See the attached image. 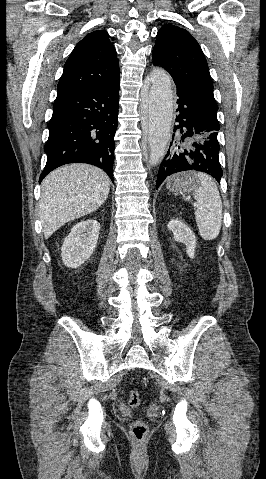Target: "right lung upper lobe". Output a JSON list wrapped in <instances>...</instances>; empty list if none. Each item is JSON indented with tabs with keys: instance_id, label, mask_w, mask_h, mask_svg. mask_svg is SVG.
<instances>
[{
	"instance_id": "obj_1",
	"label": "right lung upper lobe",
	"mask_w": 266,
	"mask_h": 479,
	"mask_svg": "<svg viewBox=\"0 0 266 479\" xmlns=\"http://www.w3.org/2000/svg\"><path fill=\"white\" fill-rule=\"evenodd\" d=\"M104 30L89 33L67 59L57 93L109 83L119 78L114 46Z\"/></svg>"
}]
</instances>
